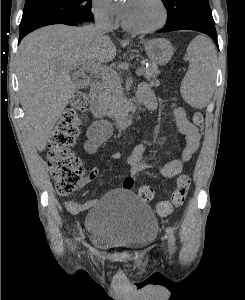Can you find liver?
<instances>
[{
    "label": "liver",
    "instance_id": "1",
    "mask_svg": "<svg viewBox=\"0 0 245 300\" xmlns=\"http://www.w3.org/2000/svg\"><path fill=\"white\" fill-rule=\"evenodd\" d=\"M116 48L92 26L50 25L28 34L19 46L17 74L28 137L42 152L60 115L77 90L74 67L108 63Z\"/></svg>",
    "mask_w": 245,
    "mask_h": 300
}]
</instances>
